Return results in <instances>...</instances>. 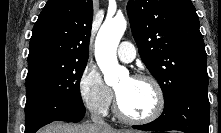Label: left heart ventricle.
Returning <instances> with one entry per match:
<instances>
[{"label":"left heart ventricle","mask_w":221,"mask_h":133,"mask_svg":"<svg viewBox=\"0 0 221 133\" xmlns=\"http://www.w3.org/2000/svg\"><path fill=\"white\" fill-rule=\"evenodd\" d=\"M116 92L123 112L129 116L145 117L155 107V92L152 85L147 81L126 77L116 86Z\"/></svg>","instance_id":"1"}]
</instances>
